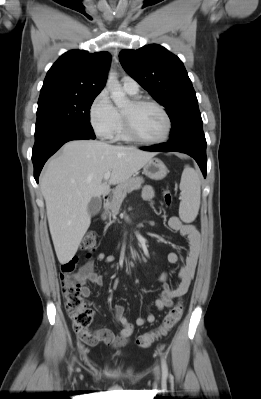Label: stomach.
<instances>
[{
	"label": "stomach",
	"instance_id": "obj_1",
	"mask_svg": "<svg viewBox=\"0 0 261 399\" xmlns=\"http://www.w3.org/2000/svg\"><path fill=\"white\" fill-rule=\"evenodd\" d=\"M143 173L150 179L161 180L167 175L168 170L160 159L152 158L144 165Z\"/></svg>",
	"mask_w": 261,
	"mask_h": 399
}]
</instances>
